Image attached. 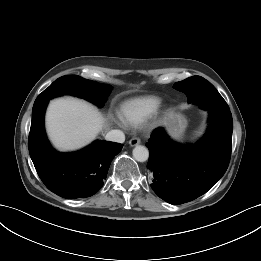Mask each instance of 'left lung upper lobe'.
<instances>
[{
  "mask_svg": "<svg viewBox=\"0 0 261 261\" xmlns=\"http://www.w3.org/2000/svg\"><path fill=\"white\" fill-rule=\"evenodd\" d=\"M206 83H210V82H208L203 77L193 76V77L187 78L183 81L175 83L174 88L178 91L184 92L188 97V101L191 102L189 95H191V93L195 92L198 88H200V85L206 84ZM220 101H221L222 105H227V103L222 98V96H221Z\"/></svg>",
  "mask_w": 261,
  "mask_h": 261,
  "instance_id": "obj_1",
  "label": "left lung upper lobe"
}]
</instances>
